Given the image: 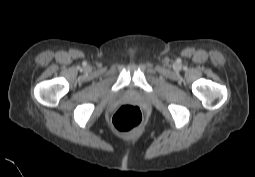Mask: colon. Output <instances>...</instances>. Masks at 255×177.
Masks as SVG:
<instances>
[{"label": "colon", "instance_id": "colon-1", "mask_svg": "<svg viewBox=\"0 0 255 177\" xmlns=\"http://www.w3.org/2000/svg\"><path fill=\"white\" fill-rule=\"evenodd\" d=\"M142 123V113L134 104L122 105L112 117L113 127L120 132H131Z\"/></svg>", "mask_w": 255, "mask_h": 177}]
</instances>
